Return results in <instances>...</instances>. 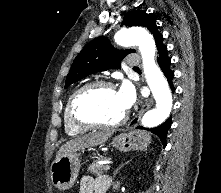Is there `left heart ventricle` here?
<instances>
[{
    "label": "left heart ventricle",
    "instance_id": "1",
    "mask_svg": "<svg viewBox=\"0 0 221 193\" xmlns=\"http://www.w3.org/2000/svg\"><path fill=\"white\" fill-rule=\"evenodd\" d=\"M125 112L114 89L96 88L82 97L78 104V114L84 119L114 122Z\"/></svg>",
    "mask_w": 221,
    "mask_h": 193
}]
</instances>
